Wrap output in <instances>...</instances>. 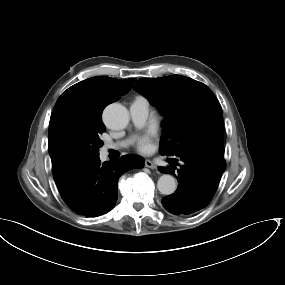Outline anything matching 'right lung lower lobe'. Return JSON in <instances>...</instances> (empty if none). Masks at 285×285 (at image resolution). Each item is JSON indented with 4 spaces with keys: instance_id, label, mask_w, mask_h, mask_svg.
Listing matches in <instances>:
<instances>
[{
    "instance_id": "right-lung-lower-lobe-1",
    "label": "right lung lower lobe",
    "mask_w": 285,
    "mask_h": 285,
    "mask_svg": "<svg viewBox=\"0 0 285 285\" xmlns=\"http://www.w3.org/2000/svg\"><path fill=\"white\" fill-rule=\"evenodd\" d=\"M142 167L144 160L135 155H125L111 163H101L98 157L67 170L55 183L72 211L86 217H97L115 205L119 177L130 169Z\"/></svg>"
}]
</instances>
